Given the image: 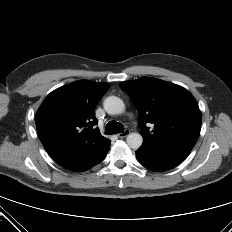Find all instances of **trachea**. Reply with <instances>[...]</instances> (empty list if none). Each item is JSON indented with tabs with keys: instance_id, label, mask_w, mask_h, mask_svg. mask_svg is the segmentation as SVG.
<instances>
[{
	"instance_id": "obj_1",
	"label": "trachea",
	"mask_w": 232,
	"mask_h": 232,
	"mask_svg": "<svg viewBox=\"0 0 232 232\" xmlns=\"http://www.w3.org/2000/svg\"><path fill=\"white\" fill-rule=\"evenodd\" d=\"M124 132V126L121 123H118L116 121H110L106 125L105 134L111 135L116 133H123Z\"/></svg>"
}]
</instances>
